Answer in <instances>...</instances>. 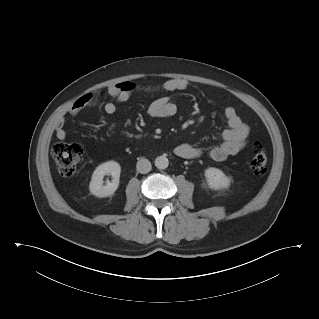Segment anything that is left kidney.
Listing matches in <instances>:
<instances>
[{
  "instance_id": "obj_1",
  "label": "left kidney",
  "mask_w": 319,
  "mask_h": 319,
  "mask_svg": "<svg viewBox=\"0 0 319 319\" xmlns=\"http://www.w3.org/2000/svg\"><path fill=\"white\" fill-rule=\"evenodd\" d=\"M205 178L210 188L219 190L230 186V179L220 169L210 167L205 170Z\"/></svg>"
}]
</instances>
